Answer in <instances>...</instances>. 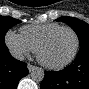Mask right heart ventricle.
I'll list each match as a JSON object with an SVG mask.
<instances>
[{"label":"right heart ventricle","instance_id":"1","mask_svg":"<svg viewBox=\"0 0 89 89\" xmlns=\"http://www.w3.org/2000/svg\"><path fill=\"white\" fill-rule=\"evenodd\" d=\"M61 27L57 23L30 24L20 28V35L34 48L36 51L41 40L51 31Z\"/></svg>","mask_w":89,"mask_h":89}]
</instances>
